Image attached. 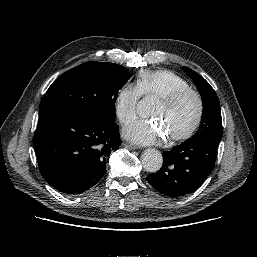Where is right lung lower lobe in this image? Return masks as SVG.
<instances>
[{
	"mask_svg": "<svg viewBox=\"0 0 257 257\" xmlns=\"http://www.w3.org/2000/svg\"><path fill=\"white\" fill-rule=\"evenodd\" d=\"M33 142L42 176L67 194L97 184L121 144L115 121L72 110L40 116Z\"/></svg>",
	"mask_w": 257,
	"mask_h": 257,
	"instance_id": "98d812e1",
	"label": "right lung lower lobe"
}]
</instances>
